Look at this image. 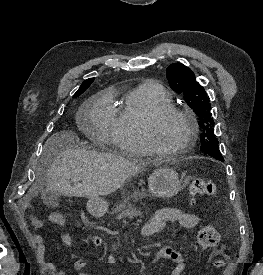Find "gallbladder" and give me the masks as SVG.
Here are the masks:
<instances>
[{
	"label": "gallbladder",
	"instance_id": "1",
	"mask_svg": "<svg viewBox=\"0 0 263 275\" xmlns=\"http://www.w3.org/2000/svg\"><path fill=\"white\" fill-rule=\"evenodd\" d=\"M42 200L44 204L48 207H56L59 204V194L53 191H46L42 195Z\"/></svg>",
	"mask_w": 263,
	"mask_h": 275
}]
</instances>
